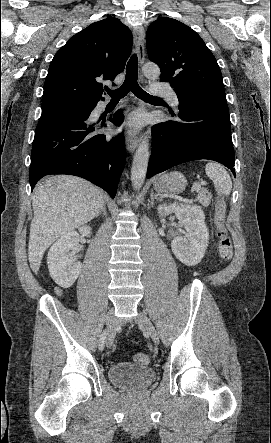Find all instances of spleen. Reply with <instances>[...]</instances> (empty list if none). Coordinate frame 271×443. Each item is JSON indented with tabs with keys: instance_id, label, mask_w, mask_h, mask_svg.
<instances>
[{
	"instance_id": "3e777b00",
	"label": "spleen",
	"mask_w": 271,
	"mask_h": 443,
	"mask_svg": "<svg viewBox=\"0 0 271 443\" xmlns=\"http://www.w3.org/2000/svg\"><path fill=\"white\" fill-rule=\"evenodd\" d=\"M205 172L208 178L214 182L216 192H218L219 196H229L232 190V180L223 166L214 164V162H208L205 166Z\"/></svg>"
}]
</instances>
